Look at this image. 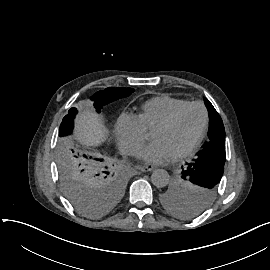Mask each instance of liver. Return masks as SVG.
<instances>
[{"label": "liver", "instance_id": "obj_1", "mask_svg": "<svg viewBox=\"0 0 270 270\" xmlns=\"http://www.w3.org/2000/svg\"><path fill=\"white\" fill-rule=\"evenodd\" d=\"M78 138L88 145H98L105 139L107 131L102 120L92 112L82 113L77 124Z\"/></svg>", "mask_w": 270, "mask_h": 270}]
</instances>
